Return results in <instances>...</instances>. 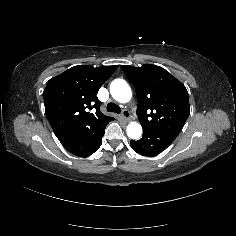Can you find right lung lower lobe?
Masks as SVG:
<instances>
[{
    "instance_id": "98d812e1",
    "label": "right lung lower lobe",
    "mask_w": 236,
    "mask_h": 236,
    "mask_svg": "<svg viewBox=\"0 0 236 236\" xmlns=\"http://www.w3.org/2000/svg\"><path fill=\"white\" fill-rule=\"evenodd\" d=\"M109 121L81 132L62 145L67 151L79 157H86L93 154L102 144V136L105 133V127Z\"/></svg>"
}]
</instances>
